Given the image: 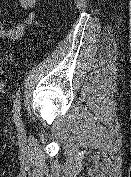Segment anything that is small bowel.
<instances>
[{
	"label": "small bowel",
	"mask_w": 131,
	"mask_h": 177,
	"mask_svg": "<svg viewBox=\"0 0 131 177\" xmlns=\"http://www.w3.org/2000/svg\"><path fill=\"white\" fill-rule=\"evenodd\" d=\"M37 0H19V4L26 13L23 21L15 24L11 28L0 26V39L17 40L21 38L27 27L30 26L35 18L33 8L36 6Z\"/></svg>",
	"instance_id": "1"
}]
</instances>
